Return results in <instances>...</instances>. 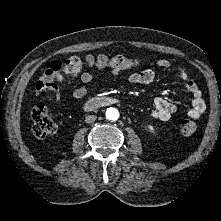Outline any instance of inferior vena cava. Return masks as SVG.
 Segmentation results:
<instances>
[{"mask_svg":"<svg viewBox=\"0 0 221 221\" xmlns=\"http://www.w3.org/2000/svg\"><path fill=\"white\" fill-rule=\"evenodd\" d=\"M97 116L96 115H87L85 117L86 123H93L96 120Z\"/></svg>","mask_w":221,"mask_h":221,"instance_id":"obj_1","label":"inferior vena cava"}]
</instances>
